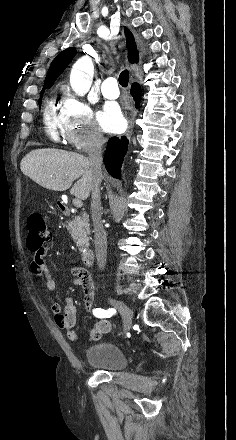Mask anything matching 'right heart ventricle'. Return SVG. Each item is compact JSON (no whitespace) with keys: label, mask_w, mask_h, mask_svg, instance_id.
Returning <instances> with one entry per match:
<instances>
[{"label":"right heart ventricle","mask_w":236,"mask_h":440,"mask_svg":"<svg viewBox=\"0 0 236 440\" xmlns=\"http://www.w3.org/2000/svg\"><path fill=\"white\" fill-rule=\"evenodd\" d=\"M43 123L47 136L57 141L59 139V135H62L61 132V119L60 116L57 115L54 101H49L44 109L43 113Z\"/></svg>","instance_id":"right-heart-ventricle-1"}]
</instances>
